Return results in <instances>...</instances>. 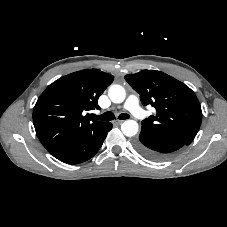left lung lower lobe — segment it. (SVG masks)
<instances>
[{
	"label": "left lung lower lobe",
	"mask_w": 227,
	"mask_h": 227,
	"mask_svg": "<svg viewBox=\"0 0 227 227\" xmlns=\"http://www.w3.org/2000/svg\"><path fill=\"white\" fill-rule=\"evenodd\" d=\"M187 145L184 141L160 134L154 133L142 128L139 138L135 141L136 150L144 157L151 160H164L174 151Z\"/></svg>",
	"instance_id": "0a47b994"
}]
</instances>
